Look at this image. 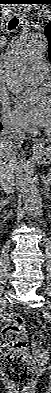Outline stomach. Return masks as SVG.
<instances>
[{"label": "stomach", "instance_id": "stomach-1", "mask_svg": "<svg viewBox=\"0 0 51 393\" xmlns=\"http://www.w3.org/2000/svg\"><path fill=\"white\" fill-rule=\"evenodd\" d=\"M35 159L41 165H51V144H42L35 151Z\"/></svg>", "mask_w": 51, "mask_h": 393}]
</instances>
